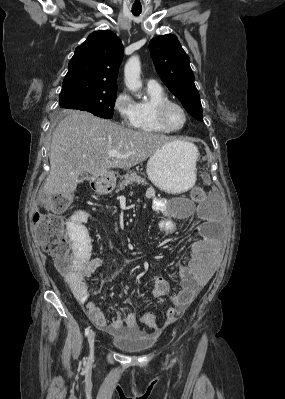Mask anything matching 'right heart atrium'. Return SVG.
Segmentation results:
<instances>
[{
	"mask_svg": "<svg viewBox=\"0 0 285 399\" xmlns=\"http://www.w3.org/2000/svg\"><path fill=\"white\" fill-rule=\"evenodd\" d=\"M113 108L125 126L132 127L135 125V102L126 90H122L116 95Z\"/></svg>",
	"mask_w": 285,
	"mask_h": 399,
	"instance_id": "obj_1",
	"label": "right heart atrium"
}]
</instances>
